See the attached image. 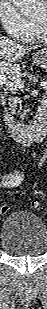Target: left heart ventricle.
<instances>
[{"mask_svg": "<svg viewBox=\"0 0 47 309\" xmlns=\"http://www.w3.org/2000/svg\"><path fill=\"white\" fill-rule=\"evenodd\" d=\"M46 19H47V14L45 11H43L39 15L35 16L33 18V21L44 27L46 23Z\"/></svg>", "mask_w": 47, "mask_h": 309, "instance_id": "b2bd125f", "label": "left heart ventricle"}]
</instances>
